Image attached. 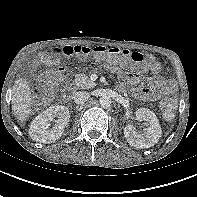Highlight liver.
<instances>
[{"label": "liver", "mask_w": 197, "mask_h": 197, "mask_svg": "<svg viewBox=\"0 0 197 197\" xmlns=\"http://www.w3.org/2000/svg\"><path fill=\"white\" fill-rule=\"evenodd\" d=\"M32 98L29 83L24 78L15 80L12 88V110L19 121L28 118L31 112Z\"/></svg>", "instance_id": "liver-1"}]
</instances>
